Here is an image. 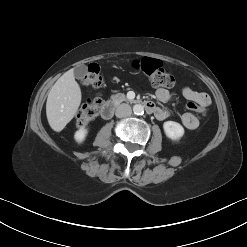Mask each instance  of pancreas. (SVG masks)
I'll use <instances>...</instances> for the list:
<instances>
[{
	"instance_id": "cf45deb5",
	"label": "pancreas",
	"mask_w": 247,
	"mask_h": 247,
	"mask_svg": "<svg viewBox=\"0 0 247 247\" xmlns=\"http://www.w3.org/2000/svg\"><path fill=\"white\" fill-rule=\"evenodd\" d=\"M111 100H112V102H113L115 105H118V104H120V103L123 102V101H127V98H126L125 94H123V93H118V94L112 95V96H111Z\"/></svg>"
}]
</instances>
